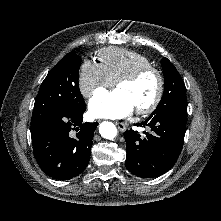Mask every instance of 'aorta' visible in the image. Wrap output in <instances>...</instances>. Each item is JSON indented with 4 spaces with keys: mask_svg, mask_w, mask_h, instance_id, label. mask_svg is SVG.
Here are the masks:
<instances>
[{
    "mask_svg": "<svg viewBox=\"0 0 221 221\" xmlns=\"http://www.w3.org/2000/svg\"><path fill=\"white\" fill-rule=\"evenodd\" d=\"M99 133L105 139H113L117 135V128L111 122H103L99 126Z\"/></svg>",
    "mask_w": 221,
    "mask_h": 221,
    "instance_id": "obj_1",
    "label": "aorta"
}]
</instances>
